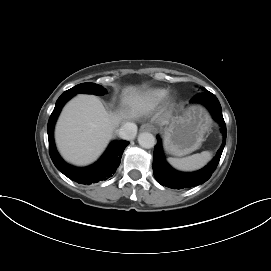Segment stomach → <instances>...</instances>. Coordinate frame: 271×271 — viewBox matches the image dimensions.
<instances>
[{
  "label": "stomach",
  "mask_w": 271,
  "mask_h": 271,
  "mask_svg": "<svg viewBox=\"0 0 271 271\" xmlns=\"http://www.w3.org/2000/svg\"><path fill=\"white\" fill-rule=\"evenodd\" d=\"M212 120L200 105H192L176 116L164 130V148L174 156H185L197 150Z\"/></svg>",
  "instance_id": "stomach-1"
}]
</instances>
